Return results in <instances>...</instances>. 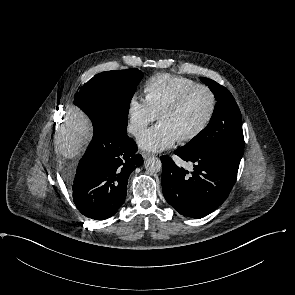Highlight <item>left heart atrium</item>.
Instances as JSON below:
<instances>
[{
	"label": "left heart atrium",
	"instance_id": "obj_1",
	"mask_svg": "<svg viewBox=\"0 0 295 295\" xmlns=\"http://www.w3.org/2000/svg\"><path fill=\"white\" fill-rule=\"evenodd\" d=\"M178 139L170 127L160 123L144 132L138 138V144L144 150L160 152L173 146Z\"/></svg>",
	"mask_w": 295,
	"mask_h": 295
}]
</instances>
